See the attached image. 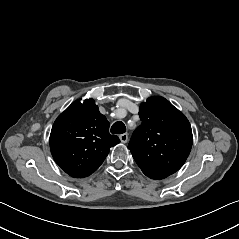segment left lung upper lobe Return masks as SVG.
<instances>
[{
	"label": "left lung upper lobe",
	"instance_id": "obj_1",
	"mask_svg": "<svg viewBox=\"0 0 239 239\" xmlns=\"http://www.w3.org/2000/svg\"><path fill=\"white\" fill-rule=\"evenodd\" d=\"M141 125L128 144L145 175L169 176L185 163L193 142L188 119L168 100L153 96L140 105Z\"/></svg>",
	"mask_w": 239,
	"mask_h": 239
}]
</instances>
